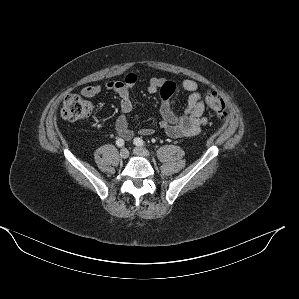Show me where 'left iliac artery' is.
<instances>
[{
    "label": "left iliac artery",
    "mask_w": 299,
    "mask_h": 299,
    "mask_svg": "<svg viewBox=\"0 0 299 299\" xmlns=\"http://www.w3.org/2000/svg\"><path fill=\"white\" fill-rule=\"evenodd\" d=\"M134 144L137 146H144L145 142L143 141V139L138 137L134 139Z\"/></svg>",
    "instance_id": "44dca946"
}]
</instances>
